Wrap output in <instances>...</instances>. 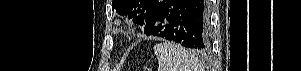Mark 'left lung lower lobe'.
Instances as JSON below:
<instances>
[{"mask_svg": "<svg viewBox=\"0 0 301 71\" xmlns=\"http://www.w3.org/2000/svg\"><path fill=\"white\" fill-rule=\"evenodd\" d=\"M144 25L146 35L159 36L196 50L209 47L206 0H161Z\"/></svg>", "mask_w": 301, "mask_h": 71, "instance_id": "obj_1", "label": "left lung lower lobe"}]
</instances>
